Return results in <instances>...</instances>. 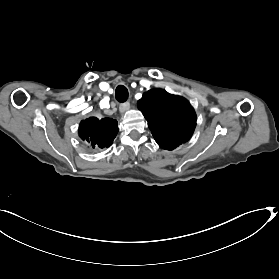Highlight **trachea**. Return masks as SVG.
Listing matches in <instances>:
<instances>
[{"mask_svg": "<svg viewBox=\"0 0 279 279\" xmlns=\"http://www.w3.org/2000/svg\"><path fill=\"white\" fill-rule=\"evenodd\" d=\"M128 95H129L128 89L125 86L123 85L117 86L115 97L118 102L120 103L125 102L128 98Z\"/></svg>", "mask_w": 279, "mask_h": 279, "instance_id": "obj_1", "label": "trachea"}]
</instances>
